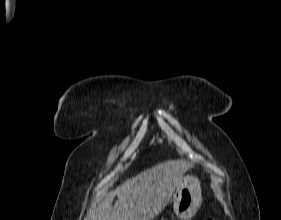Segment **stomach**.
<instances>
[{
    "label": "stomach",
    "mask_w": 281,
    "mask_h": 220,
    "mask_svg": "<svg viewBox=\"0 0 281 220\" xmlns=\"http://www.w3.org/2000/svg\"><path fill=\"white\" fill-rule=\"evenodd\" d=\"M202 202L200 181L191 175L184 176L173 197V209L180 220H190Z\"/></svg>",
    "instance_id": "0dacf381"
}]
</instances>
